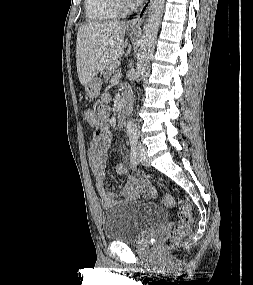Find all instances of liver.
<instances>
[{
    "label": "liver",
    "mask_w": 253,
    "mask_h": 285,
    "mask_svg": "<svg viewBox=\"0 0 253 285\" xmlns=\"http://www.w3.org/2000/svg\"><path fill=\"white\" fill-rule=\"evenodd\" d=\"M126 22H90L78 29L76 66L80 83L86 86L100 71L124 53Z\"/></svg>",
    "instance_id": "6515ba94"
}]
</instances>
